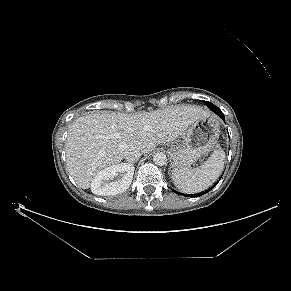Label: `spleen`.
<instances>
[{"label":"spleen","instance_id":"spleen-1","mask_svg":"<svg viewBox=\"0 0 291 291\" xmlns=\"http://www.w3.org/2000/svg\"><path fill=\"white\" fill-rule=\"evenodd\" d=\"M225 163V152L214 150L208 160L198 168H182L172 170V180L183 193L195 194L211 187L220 177Z\"/></svg>","mask_w":291,"mask_h":291}]
</instances>
